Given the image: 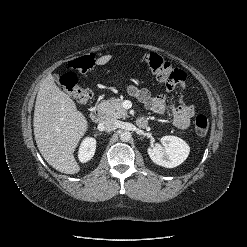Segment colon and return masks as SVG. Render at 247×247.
I'll use <instances>...</instances> for the list:
<instances>
[{
	"label": "colon",
	"instance_id": "5ec220e1",
	"mask_svg": "<svg viewBox=\"0 0 247 247\" xmlns=\"http://www.w3.org/2000/svg\"><path fill=\"white\" fill-rule=\"evenodd\" d=\"M141 61L147 65L149 70L159 81L167 84V86L176 85L185 79V75L181 70L174 68L159 54L146 53L142 55ZM94 63V55L86 54L69 61L68 66L73 71L85 73L93 67ZM73 71L60 75V86L68 95L78 102L86 103L92 98V91L78 84L77 76ZM194 127L198 136H205L209 128L208 118L202 114L198 115L195 118Z\"/></svg>",
	"mask_w": 247,
	"mask_h": 247
}]
</instances>
